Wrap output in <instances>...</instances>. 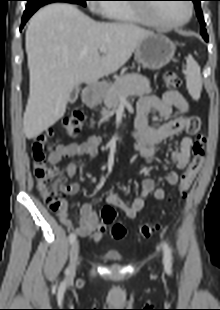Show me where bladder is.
I'll use <instances>...</instances> for the list:
<instances>
[{"label":"bladder","mask_w":220,"mask_h":310,"mask_svg":"<svg viewBox=\"0 0 220 310\" xmlns=\"http://www.w3.org/2000/svg\"><path fill=\"white\" fill-rule=\"evenodd\" d=\"M102 257L108 262L118 261L122 258L121 254L113 249L104 250L102 253Z\"/></svg>","instance_id":"obj_1"}]
</instances>
